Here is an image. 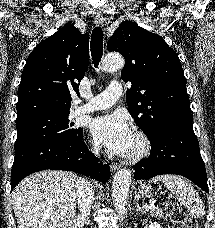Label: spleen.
<instances>
[{"instance_id": "3e777b00", "label": "spleen", "mask_w": 215, "mask_h": 228, "mask_svg": "<svg viewBox=\"0 0 215 228\" xmlns=\"http://www.w3.org/2000/svg\"><path fill=\"white\" fill-rule=\"evenodd\" d=\"M149 182H154V184L162 182L166 188L171 190L172 194H175L180 204L189 210L192 218H202L204 216L205 206L198 192L194 190L187 180H183L181 176H171V174L156 176V178H152Z\"/></svg>"}]
</instances>
